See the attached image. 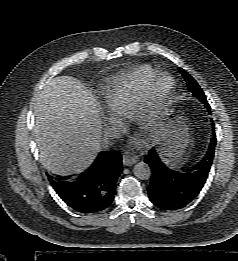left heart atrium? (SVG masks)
Returning <instances> with one entry per match:
<instances>
[{
    "label": "left heart atrium",
    "mask_w": 238,
    "mask_h": 261,
    "mask_svg": "<svg viewBox=\"0 0 238 261\" xmlns=\"http://www.w3.org/2000/svg\"><path fill=\"white\" fill-rule=\"evenodd\" d=\"M136 144H138L139 142L138 141H135Z\"/></svg>",
    "instance_id": "obj_1"
}]
</instances>
